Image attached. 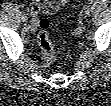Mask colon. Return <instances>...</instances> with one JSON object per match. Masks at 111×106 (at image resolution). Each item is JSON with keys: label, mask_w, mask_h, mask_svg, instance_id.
Masks as SVG:
<instances>
[{"label": "colon", "mask_w": 111, "mask_h": 106, "mask_svg": "<svg viewBox=\"0 0 111 106\" xmlns=\"http://www.w3.org/2000/svg\"><path fill=\"white\" fill-rule=\"evenodd\" d=\"M50 25V21L46 18H42L38 22L37 43L46 66L52 65L55 59L54 48L49 38Z\"/></svg>", "instance_id": "obj_1"}]
</instances>
